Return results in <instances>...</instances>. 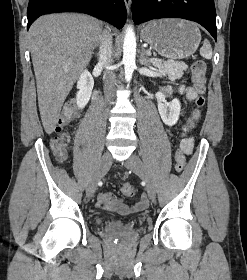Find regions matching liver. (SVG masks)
Segmentation results:
<instances>
[{
    "instance_id": "liver-1",
    "label": "liver",
    "mask_w": 247,
    "mask_h": 280,
    "mask_svg": "<svg viewBox=\"0 0 247 280\" xmlns=\"http://www.w3.org/2000/svg\"><path fill=\"white\" fill-rule=\"evenodd\" d=\"M102 22L82 14H49L29 29L41 121L47 134L58 122L63 103L91 60Z\"/></svg>"
}]
</instances>
